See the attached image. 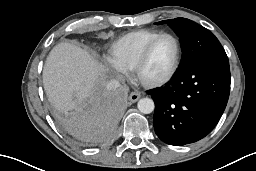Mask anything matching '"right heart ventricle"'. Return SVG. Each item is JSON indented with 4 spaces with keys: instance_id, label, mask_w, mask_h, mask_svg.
<instances>
[{
    "instance_id": "e07e8e85",
    "label": "right heart ventricle",
    "mask_w": 256,
    "mask_h": 171,
    "mask_svg": "<svg viewBox=\"0 0 256 171\" xmlns=\"http://www.w3.org/2000/svg\"><path fill=\"white\" fill-rule=\"evenodd\" d=\"M159 34L160 31L153 29H140L124 34L110 47V59L116 67L132 70L145 46Z\"/></svg>"
}]
</instances>
